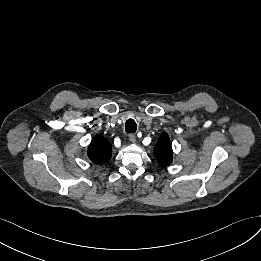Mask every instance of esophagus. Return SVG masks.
Here are the masks:
<instances>
[{
	"label": "esophagus",
	"instance_id": "1",
	"mask_svg": "<svg viewBox=\"0 0 261 261\" xmlns=\"http://www.w3.org/2000/svg\"><path fill=\"white\" fill-rule=\"evenodd\" d=\"M129 140L132 142V143H135L136 142V136L134 133H130L129 134Z\"/></svg>",
	"mask_w": 261,
	"mask_h": 261
}]
</instances>
